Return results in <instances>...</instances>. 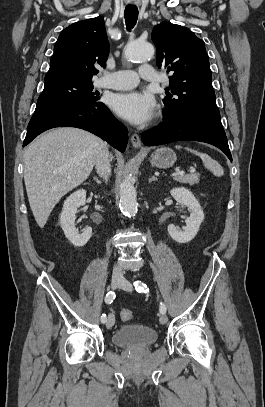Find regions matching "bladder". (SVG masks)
Segmentation results:
<instances>
[{
  "label": "bladder",
  "mask_w": 265,
  "mask_h": 407,
  "mask_svg": "<svg viewBox=\"0 0 265 407\" xmlns=\"http://www.w3.org/2000/svg\"><path fill=\"white\" fill-rule=\"evenodd\" d=\"M158 338V333L143 325H124L113 335L114 344L130 348H145L153 344Z\"/></svg>",
  "instance_id": "bladder-1"
}]
</instances>
